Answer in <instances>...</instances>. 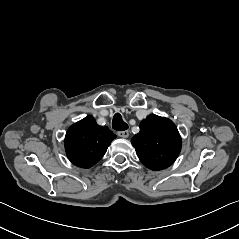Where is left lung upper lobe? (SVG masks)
Returning a JSON list of instances; mask_svg holds the SVG:
<instances>
[{
	"label": "left lung upper lobe",
	"mask_w": 239,
	"mask_h": 239,
	"mask_svg": "<svg viewBox=\"0 0 239 239\" xmlns=\"http://www.w3.org/2000/svg\"><path fill=\"white\" fill-rule=\"evenodd\" d=\"M131 142L140 161L151 170H162L172 165L182 145L175 124L154 114L140 123V132Z\"/></svg>",
	"instance_id": "obj_1"
}]
</instances>
